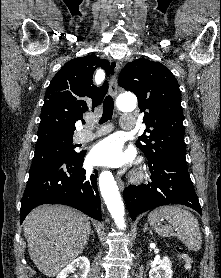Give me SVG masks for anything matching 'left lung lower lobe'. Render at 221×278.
Masks as SVG:
<instances>
[{
    "mask_svg": "<svg viewBox=\"0 0 221 278\" xmlns=\"http://www.w3.org/2000/svg\"><path fill=\"white\" fill-rule=\"evenodd\" d=\"M151 182L125 188L123 196L130 213L136 216L150 209L169 204H183L202 215L198 197L188 173L186 157L171 154L149 164Z\"/></svg>",
    "mask_w": 221,
    "mask_h": 278,
    "instance_id": "0a47b994",
    "label": "left lung lower lobe"
}]
</instances>
